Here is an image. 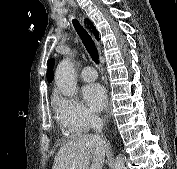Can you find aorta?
Listing matches in <instances>:
<instances>
[{"label":"aorta","instance_id":"aorta-1","mask_svg":"<svg viewBox=\"0 0 177 169\" xmlns=\"http://www.w3.org/2000/svg\"><path fill=\"white\" fill-rule=\"evenodd\" d=\"M55 84L59 91L67 96L73 97L77 94V84L75 80V70L71 59H63L55 71ZM114 169H126L124 158L118 155Z\"/></svg>","mask_w":177,"mask_h":169}]
</instances>
